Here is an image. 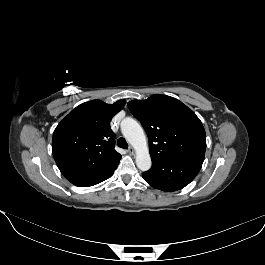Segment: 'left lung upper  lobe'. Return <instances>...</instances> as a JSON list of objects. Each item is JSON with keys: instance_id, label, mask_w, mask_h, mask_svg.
I'll return each instance as SVG.
<instances>
[{"instance_id": "obj_1", "label": "left lung upper lobe", "mask_w": 265, "mask_h": 265, "mask_svg": "<svg viewBox=\"0 0 265 265\" xmlns=\"http://www.w3.org/2000/svg\"><path fill=\"white\" fill-rule=\"evenodd\" d=\"M149 141L152 162L205 152L206 133L196 114L178 99L155 94L128 103Z\"/></svg>"}]
</instances>
